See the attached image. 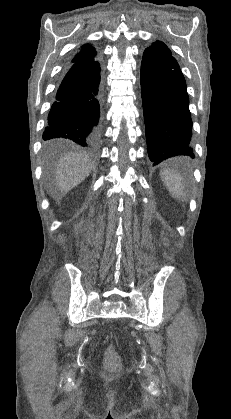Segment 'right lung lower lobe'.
Wrapping results in <instances>:
<instances>
[{"label":"right lung lower lobe","instance_id":"98d812e1","mask_svg":"<svg viewBox=\"0 0 231 419\" xmlns=\"http://www.w3.org/2000/svg\"><path fill=\"white\" fill-rule=\"evenodd\" d=\"M100 65L94 59L67 65L48 115L43 139L63 138L94 149L100 126Z\"/></svg>","mask_w":231,"mask_h":419}]
</instances>
